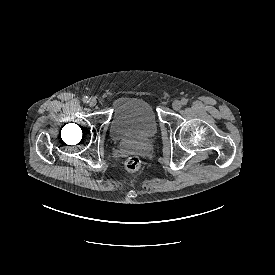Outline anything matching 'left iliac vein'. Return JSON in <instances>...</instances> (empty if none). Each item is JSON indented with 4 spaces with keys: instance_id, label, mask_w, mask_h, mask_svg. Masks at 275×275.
I'll return each mask as SVG.
<instances>
[{
    "instance_id": "left-iliac-vein-1",
    "label": "left iliac vein",
    "mask_w": 275,
    "mask_h": 275,
    "mask_svg": "<svg viewBox=\"0 0 275 275\" xmlns=\"http://www.w3.org/2000/svg\"><path fill=\"white\" fill-rule=\"evenodd\" d=\"M172 107H173L174 110H180L181 107H182V104H181L180 101L175 100V101H173V103H172Z\"/></svg>"
}]
</instances>
